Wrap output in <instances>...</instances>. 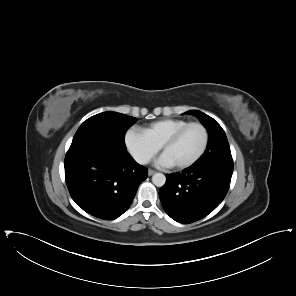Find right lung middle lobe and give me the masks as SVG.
Listing matches in <instances>:
<instances>
[{
  "mask_svg": "<svg viewBox=\"0 0 296 296\" xmlns=\"http://www.w3.org/2000/svg\"><path fill=\"white\" fill-rule=\"evenodd\" d=\"M136 121L134 117L116 112L94 115L80 125L72 144L94 142L125 151V133Z\"/></svg>",
  "mask_w": 296,
  "mask_h": 296,
  "instance_id": "1",
  "label": "right lung middle lobe"
}]
</instances>
